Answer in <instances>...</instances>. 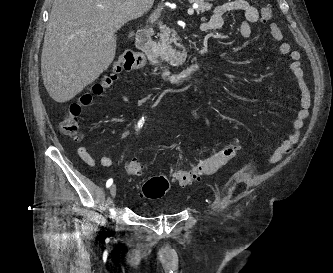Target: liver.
Wrapping results in <instances>:
<instances>
[{"instance_id":"liver-1","label":"liver","mask_w":333,"mask_h":273,"mask_svg":"<svg viewBox=\"0 0 333 273\" xmlns=\"http://www.w3.org/2000/svg\"><path fill=\"white\" fill-rule=\"evenodd\" d=\"M154 0H54L41 54L50 97L64 103L94 82L116 54L115 33Z\"/></svg>"}]
</instances>
